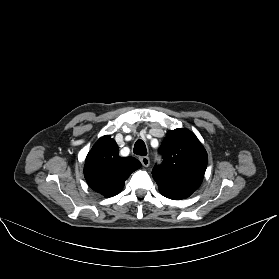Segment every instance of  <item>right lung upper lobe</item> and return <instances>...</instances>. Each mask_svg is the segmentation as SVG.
<instances>
[{
	"label": "right lung upper lobe",
	"mask_w": 279,
	"mask_h": 279,
	"mask_svg": "<svg viewBox=\"0 0 279 279\" xmlns=\"http://www.w3.org/2000/svg\"><path fill=\"white\" fill-rule=\"evenodd\" d=\"M140 166V161L134 157H120L117 143L106 135L88 153L84 176L94 191L112 197L121 192L125 180Z\"/></svg>",
	"instance_id": "obj_1"
}]
</instances>
